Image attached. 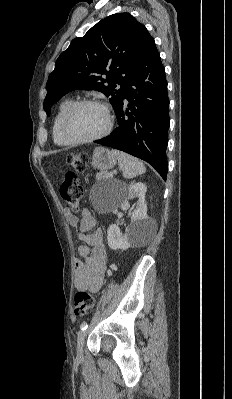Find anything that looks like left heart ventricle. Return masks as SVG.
I'll list each match as a JSON object with an SVG mask.
<instances>
[{
    "instance_id": "left-heart-ventricle-1",
    "label": "left heart ventricle",
    "mask_w": 232,
    "mask_h": 399,
    "mask_svg": "<svg viewBox=\"0 0 232 399\" xmlns=\"http://www.w3.org/2000/svg\"><path fill=\"white\" fill-rule=\"evenodd\" d=\"M107 125V112L99 105L80 106L69 119L70 132L77 138L96 136L103 132Z\"/></svg>"
}]
</instances>
